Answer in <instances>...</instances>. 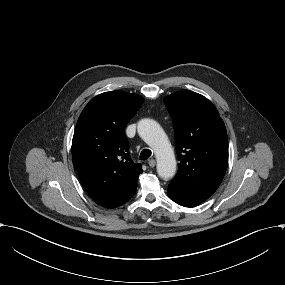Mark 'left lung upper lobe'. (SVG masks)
<instances>
[{"mask_svg":"<svg viewBox=\"0 0 285 285\" xmlns=\"http://www.w3.org/2000/svg\"><path fill=\"white\" fill-rule=\"evenodd\" d=\"M173 119L180 161L169 186L204 201L221 184L228 164V138L215 106L204 96L181 90L164 98Z\"/></svg>","mask_w":285,"mask_h":285,"instance_id":"left-lung-upper-lobe-1","label":"left lung upper lobe"}]
</instances>
